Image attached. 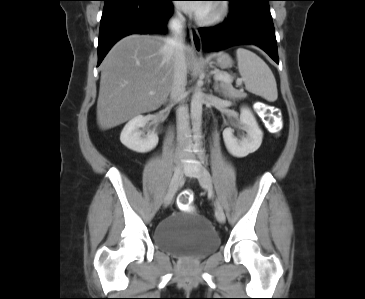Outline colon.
I'll list each match as a JSON object with an SVG mask.
<instances>
[{"label":"colon","mask_w":365,"mask_h":299,"mask_svg":"<svg viewBox=\"0 0 365 299\" xmlns=\"http://www.w3.org/2000/svg\"><path fill=\"white\" fill-rule=\"evenodd\" d=\"M264 117L268 118L269 130L273 134H278L282 129V120L279 117L277 110L272 107H267V113ZM194 195L191 191H182L177 198V206L181 209H190L192 207Z\"/></svg>","instance_id":"colon-1"}]
</instances>
